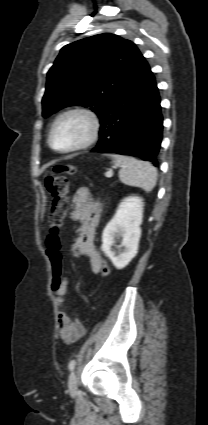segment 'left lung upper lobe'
<instances>
[{
    "label": "left lung upper lobe",
    "mask_w": 208,
    "mask_h": 425,
    "mask_svg": "<svg viewBox=\"0 0 208 425\" xmlns=\"http://www.w3.org/2000/svg\"><path fill=\"white\" fill-rule=\"evenodd\" d=\"M144 62L134 43L111 33L64 46L47 74L43 116L82 105L100 117Z\"/></svg>",
    "instance_id": "obj_1"
}]
</instances>
